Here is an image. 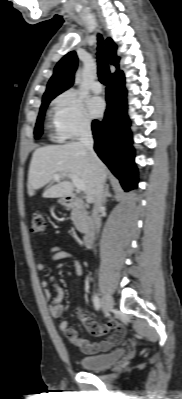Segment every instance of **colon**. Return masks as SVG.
Instances as JSON below:
<instances>
[{
	"label": "colon",
	"mask_w": 182,
	"mask_h": 399,
	"mask_svg": "<svg viewBox=\"0 0 182 399\" xmlns=\"http://www.w3.org/2000/svg\"><path fill=\"white\" fill-rule=\"evenodd\" d=\"M46 230V220L39 212H35L31 217L30 232L32 234H43Z\"/></svg>",
	"instance_id": "obj_1"
}]
</instances>
